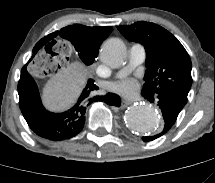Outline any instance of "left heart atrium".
<instances>
[{"label":"left heart atrium","mask_w":215,"mask_h":183,"mask_svg":"<svg viewBox=\"0 0 215 183\" xmlns=\"http://www.w3.org/2000/svg\"><path fill=\"white\" fill-rule=\"evenodd\" d=\"M111 89L123 96L133 97L137 93L138 85L135 79L128 78L113 83Z\"/></svg>","instance_id":"1"}]
</instances>
